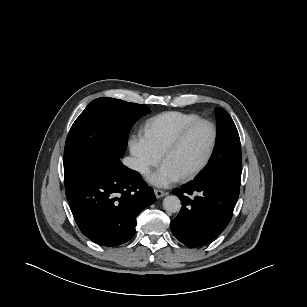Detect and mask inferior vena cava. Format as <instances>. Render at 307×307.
I'll list each match as a JSON object with an SVG mask.
<instances>
[{"label":"inferior vena cava","instance_id":"602c4592","mask_svg":"<svg viewBox=\"0 0 307 307\" xmlns=\"http://www.w3.org/2000/svg\"><path fill=\"white\" fill-rule=\"evenodd\" d=\"M123 163L126 166H128L129 168L136 170V171H139V172H145L146 169H147V166L143 162H141L138 159L133 158V157L125 158L123 160Z\"/></svg>","mask_w":307,"mask_h":307}]
</instances>
